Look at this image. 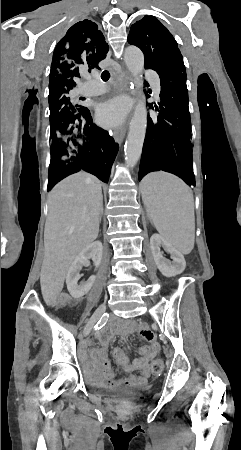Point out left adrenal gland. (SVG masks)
Masks as SVG:
<instances>
[{"instance_id":"a2214340","label":"left adrenal gland","mask_w":241,"mask_h":450,"mask_svg":"<svg viewBox=\"0 0 241 450\" xmlns=\"http://www.w3.org/2000/svg\"><path fill=\"white\" fill-rule=\"evenodd\" d=\"M151 224H153L152 220H150Z\"/></svg>"}]
</instances>
